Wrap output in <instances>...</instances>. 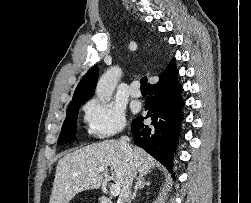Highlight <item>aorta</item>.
I'll list each match as a JSON object with an SVG mask.
<instances>
[{"mask_svg": "<svg viewBox=\"0 0 251 203\" xmlns=\"http://www.w3.org/2000/svg\"><path fill=\"white\" fill-rule=\"evenodd\" d=\"M122 76V70L118 66L111 67L100 77L96 95L101 102H109L112 98L113 91Z\"/></svg>", "mask_w": 251, "mask_h": 203, "instance_id": "obj_1", "label": "aorta"}]
</instances>
